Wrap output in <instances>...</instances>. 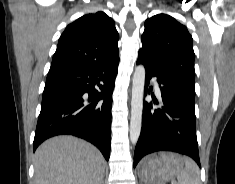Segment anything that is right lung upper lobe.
Returning a JSON list of instances; mask_svg holds the SVG:
<instances>
[{
	"label": "right lung upper lobe",
	"mask_w": 235,
	"mask_h": 184,
	"mask_svg": "<svg viewBox=\"0 0 235 184\" xmlns=\"http://www.w3.org/2000/svg\"><path fill=\"white\" fill-rule=\"evenodd\" d=\"M118 39L114 21L104 12L84 15L62 33L50 69H97L117 64Z\"/></svg>",
	"instance_id": "1"
}]
</instances>
